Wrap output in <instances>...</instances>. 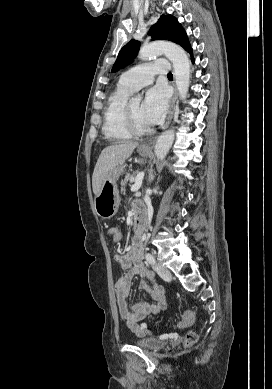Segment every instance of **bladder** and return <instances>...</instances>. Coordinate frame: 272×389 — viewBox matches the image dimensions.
Here are the masks:
<instances>
[{
	"label": "bladder",
	"instance_id": "31cf9c89",
	"mask_svg": "<svg viewBox=\"0 0 272 389\" xmlns=\"http://www.w3.org/2000/svg\"><path fill=\"white\" fill-rule=\"evenodd\" d=\"M134 343L136 346L147 351H157L164 347V341L158 338H143Z\"/></svg>",
	"mask_w": 272,
	"mask_h": 389
}]
</instances>
